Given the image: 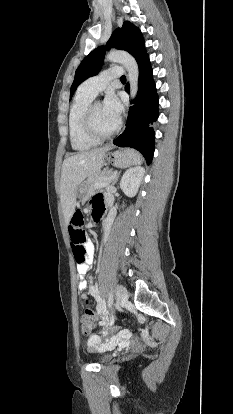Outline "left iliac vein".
Masks as SVG:
<instances>
[{"label":"left iliac vein","mask_w":233,"mask_h":414,"mask_svg":"<svg viewBox=\"0 0 233 414\" xmlns=\"http://www.w3.org/2000/svg\"><path fill=\"white\" fill-rule=\"evenodd\" d=\"M128 297L127 289L122 285H118L116 288V299L120 307H123L127 303Z\"/></svg>","instance_id":"left-iliac-vein-1"}]
</instances>
